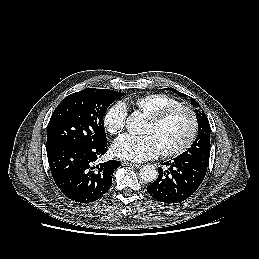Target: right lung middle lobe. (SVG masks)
Masks as SVG:
<instances>
[{
  "mask_svg": "<svg viewBox=\"0 0 259 259\" xmlns=\"http://www.w3.org/2000/svg\"><path fill=\"white\" fill-rule=\"evenodd\" d=\"M123 93L88 88L62 100L54 110L47 134V152L64 145H107L103 116Z\"/></svg>",
  "mask_w": 259,
  "mask_h": 259,
  "instance_id": "obj_1",
  "label": "right lung middle lobe"
}]
</instances>
